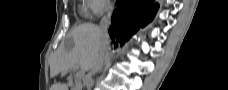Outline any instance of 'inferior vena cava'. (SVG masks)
<instances>
[{"label":"inferior vena cava","instance_id":"inferior-vena-cava-1","mask_svg":"<svg viewBox=\"0 0 228 90\" xmlns=\"http://www.w3.org/2000/svg\"><path fill=\"white\" fill-rule=\"evenodd\" d=\"M111 15H112L111 9L107 8L106 14L102 17L101 22H100L99 31H100V38H101V48H100L98 57L96 59V62L91 69L89 77L86 80L87 89H90V87L93 84L92 74H94L97 71H100L103 66V63H104L107 45L109 43L108 27L111 23Z\"/></svg>","mask_w":228,"mask_h":90}]
</instances>
